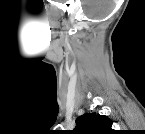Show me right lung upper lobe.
I'll use <instances>...</instances> for the list:
<instances>
[{"instance_id":"obj_1","label":"right lung upper lobe","mask_w":145,"mask_h":134,"mask_svg":"<svg viewBox=\"0 0 145 134\" xmlns=\"http://www.w3.org/2000/svg\"><path fill=\"white\" fill-rule=\"evenodd\" d=\"M113 121L105 115L85 113L76 119L75 134H114Z\"/></svg>"}]
</instances>
